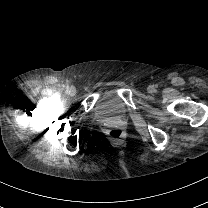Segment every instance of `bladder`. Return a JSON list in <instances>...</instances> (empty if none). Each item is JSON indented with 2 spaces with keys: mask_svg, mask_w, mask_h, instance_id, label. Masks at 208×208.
I'll return each mask as SVG.
<instances>
[{
  "mask_svg": "<svg viewBox=\"0 0 208 208\" xmlns=\"http://www.w3.org/2000/svg\"><path fill=\"white\" fill-rule=\"evenodd\" d=\"M103 111H108L109 113H117L120 108V102L116 96L104 98L100 103Z\"/></svg>",
  "mask_w": 208,
  "mask_h": 208,
  "instance_id": "31cf9c89",
  "label": "bladder"
}]
</instances>
